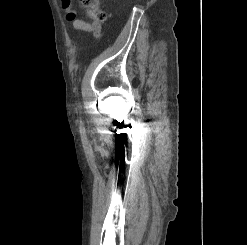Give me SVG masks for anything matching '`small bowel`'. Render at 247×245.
Returning <instances> with one entry per match:
<instances>
[{"label": "small bowel", "instance_id": "1", "mask_svg": "<svg viewBox=\"0 0 247 245\" xmlns=\"http://www.w3.org/2000/svg\"><path fill=\"white\" fill-rule=\"evenodd\" d=\"M62 5L66 13L67 20L72 22L75 30L85 31L93 35L96 39L101 35V24L98 22L88 23L84 20L77 19L75 12L71 8V0H62Z\"/></svg>", "mask_w": 247, "mask_h": 245}]
</instances>
